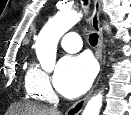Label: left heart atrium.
<instances>
[{"label": "left heart atrium", "mask_w": 131, "mask_h": 115, "mask_svg": "<svg viewBox=\"0 0 131 115\" xmlns=\"http://www.w3.org/2000/svg\"><path fill=\"white\" fill-rule=\"evenodd\" d=\"M95 73V65L87 56H65L57 66L54 85L62 95L77 97L90 87Z\"/></svg>", "instance_id": "obj_1"}]
</instances>
